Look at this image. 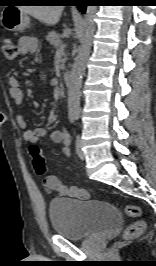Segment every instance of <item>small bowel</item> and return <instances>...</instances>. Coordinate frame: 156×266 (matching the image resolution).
I'll list each match as a JSON object with an SVG mask.
<instances>
[{"label": "small bowel", "instance_id": "1", "mask_svg": "<svg viewBox=\"0 0 156 266\" xmlns=\"http://www.w3.org/2000/svg\"><path fill=\"white\" fill-rule=\"evenodd\" d=\"M19 52L22 55L32 54L37 51V42L31 37H22L18 43ZM9 94L12 98L15 106L18 109L16 114V122L23 131V138L31 145L39 144L44 138L48 137L55 143H61L63 145L62 151L65 155H69L70 136L67 131H52L50 132L46 128L37 127L29 129L27 127L26 120L21 112V108L24 102V93L20 87V83L17 78L11 77L9 79ZM37 106V104H34ZM43 186L49 193H56L61 197H72L81 200H85L89 197L88 192L85 189L76 186H66L57 177L48 176L44 179Z\"/></svg>", "mask_w": 156, "mask_h": 266}]
</instances>
